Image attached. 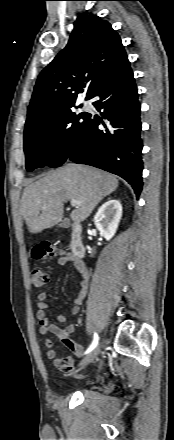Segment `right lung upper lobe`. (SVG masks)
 Returning a JSON list of instances; mask_svg holds the SVG:
<instances>
[{
	"instance_id": "1",
	"label": "right lung upper lobe",
	"mask_w": 174,
	"mask_h": 440,
	"mask_svg": "<svg viewBox=\"0 0 174 440\" xmlns=\"http://www.w3.org/2000/svg\"><path fill=\"white\" fill-rule=\"evenodd\" d=\"M127 60L122 41L110 23L98 16L80 15L67 46L38 76L25 131L73 107L82 87H88V100Z\"/></svg>"
}]
</instances>
